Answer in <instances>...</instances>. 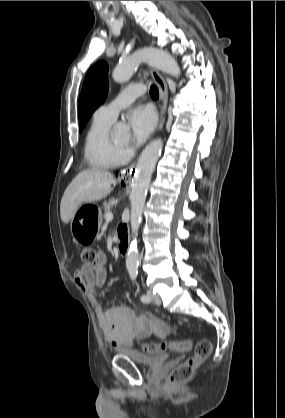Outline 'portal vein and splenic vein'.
<instances>
[{
	"mask_svg": "<svg viewBox=\"0 0 285 418\" xmlns=\"http://www.w3.org/2000/svg\"><path fill=\"white\" fill-rule=\"evenodd\" d=\"M112 219H113V213L112 212L109 211L108 213L105 214V220L107 222L111 221Z\"/></svg>",
	"mask_w": 285,
	"mask_h": 418,
	"instance_id": "portal-vein-and-splenic-vein-1",
	"label": "portal vein and splenic vein"
}]
</instances>
